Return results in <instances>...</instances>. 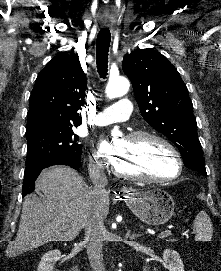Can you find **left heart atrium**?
<instances>
[{
    "instance_id": "obj_1",
    "label": "left heart atrium",
    "mask_w": 221,
    "mask_h": 271,
    "mask_svg": "<svg viewBox=\"0 0 221 271\" xmlns=\"http://www.w3.org/2000/svg\"><path fill=\"white\" fill-rule=\"evenodd\" d=\"M118 142H103L100 145L101 153L104 157H136V152H129V148H117Z\"/></svg>"
}]
</instances>
